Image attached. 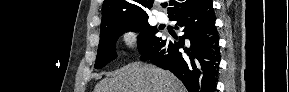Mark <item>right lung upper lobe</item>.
Returning a JSON list of instances; mask_svg holds the SVG:
<instances>
[{"label": "right lung upper lobe", "mask_w": 289, "mask_h": 92, "mask_svg": "<svg viewBox=\"0 0 289 92\" xmlns=\"http://www.w3.org/2000/svg\"><path fill=\"white\" fill-rule=\"evenodd\" d=\"M206 0H170L169 18L175 14L198 7ZM154 0H104L101 31L116 23L148 18L146 13Z\"/></svg>", "instance_id": "right-lung-upper-lobe-1"}]
</instances>
